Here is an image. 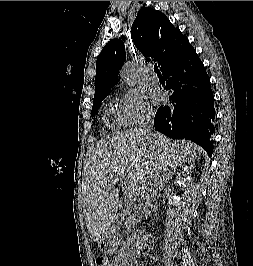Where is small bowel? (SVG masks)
I'll list each match as a JSON object with an SVG mask.
<instances>
[{
    "mask_svg": "<svg viewBox=\"0 0 253 266\" xmlns=\"http://www.w3.org/2000/svg\"><path fill=\"white\" fill-rule=\"evenodd\" d=\"M123 259V257H120V258H118V263L120 264V265H122L121 264V260ZM112 266H117V264H112ZM131 266H136V264L135 263H131Z\"/></svg>",
    "mask_w": 253,
    "mask_h": 266,
    "instance_id": "small-bowel-1",
    "label": "small bowel"
}]
</instances>
